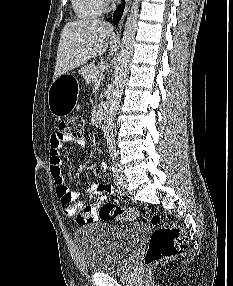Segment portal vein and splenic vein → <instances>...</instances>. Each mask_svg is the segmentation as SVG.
Masks as SVG:
<instances>
[{
	"mask_svg": "<svg viewBox=\"0 0 233 286\" xmlns=\"http://www.w3.org/2000/svg\"><path fill=\"white\" fill-rule=\"evenodd\" d=\"M92 78L94 79L95 82H98L101 80L102 76L94 74V75H92Z\"/></svg>",
	"mask_w": 233,
	"mask_h": 286,
	"instance_id": "obj_1",
	"label": "portal vein and splenic vein"
}]
</instances>
